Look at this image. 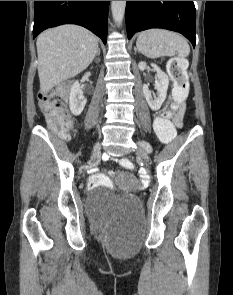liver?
<instances>
[{
	"label": "liver",
	"instance_id": "liver-1",
	"mask_svg": "<svg viewBox=\"0 0 233 295\" xmlns=\"http://www.w3.org/2000/svg\"><path fill=\"white\" fill-rule=\"evenodd\" d=\"M40 91L85 70L98 52L97 37L81 26L62 25L42 32L36 42Z\"/></svg>",
	"mask_w": 233,
	"mask_h": 295
}]
</instances>
